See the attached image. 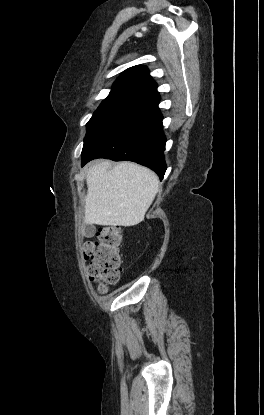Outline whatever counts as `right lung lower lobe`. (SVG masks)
Wrapping results in <instances>:
<instances>
[{
    "mask_svg": "<svg viewBox=\"0 0 264 415\" xmlns=\"http://www.w3.org/2000/svg\"><path fill=\"white\" fill-rule=\"evenodd\" d=\"M160 96L143 101L82 150V166L95 158L133 161L155 171L160 179L166 171Z\"/></svg>",
    "mask_w": 264,
    "mask_h": 415,
    "instance_id": "right-lung-lower-lobe-1",
    "label": "right lung lower lobe"
}]
</instances>
